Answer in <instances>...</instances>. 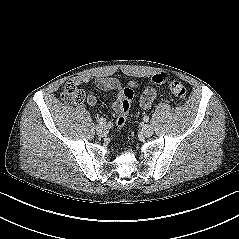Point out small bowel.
Returning <instances> with one entry per match:
<instances>
[{
  "mask_svg": "<svg viewBox=\"0 0 239 239\" xmlns=\"http://www.w3.org/2000/svg\"><path fill=\"white\" fill-rule=\"evenodd\" d=\"M77 85L86 84L90 81L88 76H77L73 80ZM96 87L104 92H112V109L115 113H119L121 108V101L123 93L121 91V84L116 78L102 77L95 80ZM131 87H138L135 82H130ZM156 99V90L152 87L145 89L140 98V105L144 109L150 108ZM87 103L90 106H94L97 103V97L94 94L87 96Z\"/></svg>",
  "mask_w": 239,
  "mask_h": 239,
  "instance_id": "c3829d8e",
  "label": "small bowel"
}]
</instances>
